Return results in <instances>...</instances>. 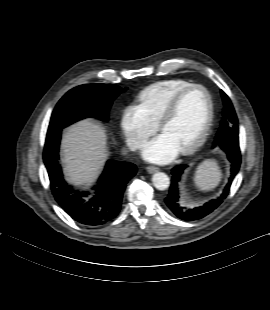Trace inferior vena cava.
Returning a JSON list of instances; mask_svg holds the SVG:
<instances>
[{
	"label": "inferior vena cava",
	"mask_w": 270,
	"mask_h": 310,
	"mask_svg": "<svg viewBox=\"0 0 270 310\" xmlns=\"http://www.w3.org/2000/svg\"><path fill=\"white\" fill-rule=\"evenodd\" d=\"M141 146H142L141 144L127 143L128 149H130L132 151H134V150H136L138 148H141Z\"/></svg>",
	"instance_id": "obj_1"
}]
</instances>
